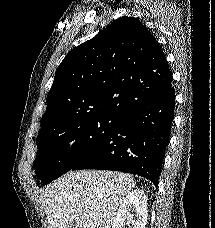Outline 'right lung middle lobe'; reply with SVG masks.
Returning <instances> with one entry per match:
<instances>
[{
    "instance_id": "obj_1",
    "label": "right lung middle lobe",
    "mask_w": 215,
    "mask_h": 228,
    "mask_svg": "<svg viewBox=\"0 0 215 228\" xmlns=\"http://www.w3.org/2000/svg\"><path fill=\"white\" fill-rule=\"evenodd\" d=\"M120 119L121 115L103 113L40 130L34 161L36 175L43 184H48L71 170L112 131Z\"/></svg>"
}]
</instances>
